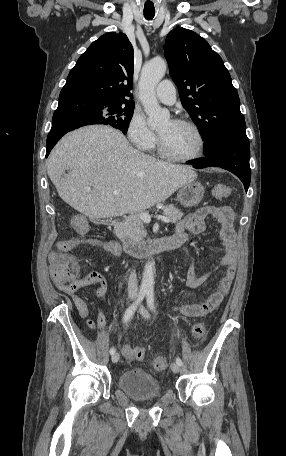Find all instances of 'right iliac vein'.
<instances>
[{
  "mask_svg": "<svg viewBox=\"0 0 286 456\" xmlns=\"http://www.w3.org/2000/svg\"><path fill=\"white\" fill-rule=\"evenodd\" d=\"M133 299H134V297H130V300H133ZM119 358H120V355L118 353H114L111 357V360L113 363H116V362H118Z\"/></svg>",
  "mask_w": 286,
  "mask_h": 456,
  "instance_id": "right-iliac-vein-1",
  "label": "right iliac vein"
}]
</instances>
